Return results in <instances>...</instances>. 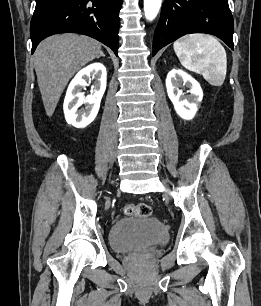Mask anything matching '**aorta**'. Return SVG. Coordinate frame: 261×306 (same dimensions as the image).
Masks as SVG:
<instances>
[{"label": "aorta", "instance_id": "obj_1", "mask_svg": "<svg viewBox=\"0 0 261 306\" xmlns=\"http://www.w3.org/2000/svg\"><path fill=\"white\" fill-rule=\"evenodd\" d=\"M162 0H144V13L147 20L152 21L158 15Z\"/></svg>", "mask_w": 261, "mask_h": 306}]
</instances>
